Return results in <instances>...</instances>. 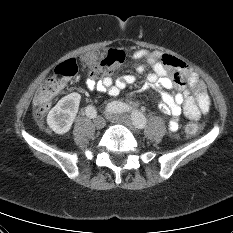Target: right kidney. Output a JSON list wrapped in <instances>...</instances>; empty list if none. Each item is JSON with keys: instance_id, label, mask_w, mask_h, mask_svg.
<instances>
[{"instance_id": "ca27d5eb", "label": "right kidney", "mask_w": 233, "mask_h": 233, "mask_svg": "<svg viewBox=\"0 0 233 233\" xmlns=\"http://www.w3.org/2000/svg\"><path fill=\"white\" fill-rule=\"evenodd\" d=\"M81 96L73 92L63 97L50 110L47 116V124L56 134L67 133L73 124L79 109Z\"/></svg>"}]
</instances>
